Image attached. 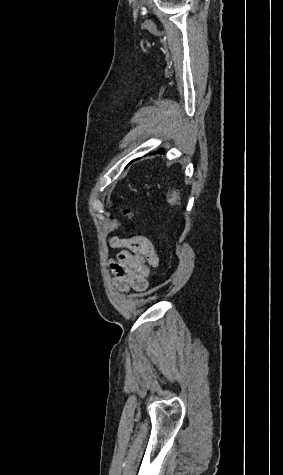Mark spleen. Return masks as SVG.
<instances>
[{
  "label": "spleen",
  "mask_w": 283,
  "mask_h": 475,
  "mask_svg": "<svg viewBox=\"0 0 283 475\" xmlns=\"http://www.w3.org/2000/svg\"><path fill=\"white\" fill-rule=\"evenodd\" d=\"M180 192L179 190H176V192H169L167 194V202L170 204V206H175V204H179L178 200H180L179 196Z\"/></svg>",
  "instance_id": "obj_1"
}]
</instances>
